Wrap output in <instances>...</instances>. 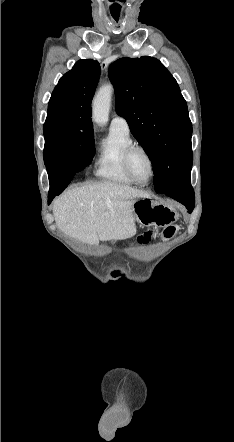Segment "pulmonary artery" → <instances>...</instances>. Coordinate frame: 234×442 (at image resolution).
<instances>
[{"label": "pulmonary artery", "mask_w": 234, "mask_h": 442, "mask_svg": "<svg viewBox=\"0 0 234 442\" xmlns=\"http://www.w3.org/2000/svg\"><path fill=\"white\" fill-rule=\"evenodd\" d=\"M111 128H118L129 131V125L126 119L122 116H115L111 121Z\"/></svg>", "instance_id": "1"}]
</instances>
